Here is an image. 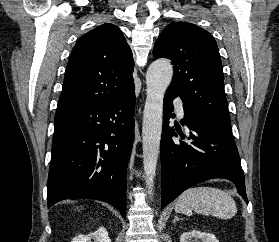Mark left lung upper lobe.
<instances>
[{"instance_id":"obj_1","label":"left lung upper lobe","mask_w":279,"mask_h":242,"mask_svg":"<svg viewBox=\"0 0 279 242\" xmlns=\"http://www.w3.org/2000/svg\"><path fill=\"white\" fill-rule=\"evenodd\" d=\"M153 56L172 60L168 91L180 96L184 112L231 134L223 68L212 35L191 23H171L159 35Z\"/></svg>"}]
</instances>
